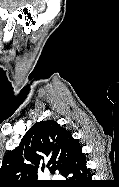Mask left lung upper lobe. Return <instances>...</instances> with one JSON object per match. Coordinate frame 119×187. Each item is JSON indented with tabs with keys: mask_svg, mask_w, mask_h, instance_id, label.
Returning a JSON list of instances; mask_svg holds the SVG:
<instances>
[{
	"mask_svg": "<svg viewBox=\"0 0 119 187\" xmlns=\"http://www.w3.org/2000/svg\"><path fill=\"white\" fill-rule=\"evenodd\" d=\"M76 145L78 142L71 133L56 121L37 122L23 136L20 145L3 159L0 187L29 186L45 168L64 175Z\"/></svg>",
	"mask_w": 119,
	"mask_h": 187,
	"instance_id": "1",
	"label": "left lung upper lobe"
}]
</instances>
